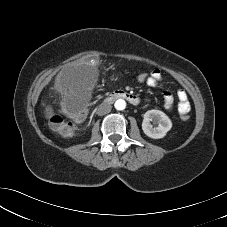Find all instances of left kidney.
<instances>
[{
    "mask_svg": "<svg viewBox=\"0 0 227 227\" xmlns=\"http://www.w3.org/2000/svg\"><path fill=\"white\" fill-rule=\"evenodd\" d=\"M151 121H153L155 126L151 124ZM171 127V120L160 110H149L144 114L142 130L150 138H163Z\"/></svg>",
    "mask_w": 227,
    "mask_h": 227,
    "instance_id": "left-kidney-1",
    "label": "left kidney"
}]
</instances>
